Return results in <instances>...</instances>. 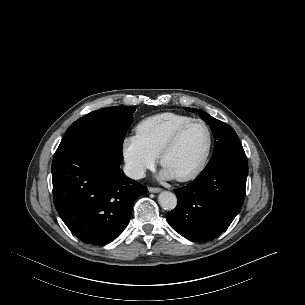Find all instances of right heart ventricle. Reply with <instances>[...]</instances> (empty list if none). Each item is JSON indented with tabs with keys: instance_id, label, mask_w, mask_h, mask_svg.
Wrapping results in <instances>:
<instances>
[{
	"instance_id": "e07e8e85",
	"label": "right heart ventricle",
	"mask_w": 305,
	"mask_h": 305,
	"mask_svg": "<svg viewBox=\"0 0 305 305\" xmlns=\"http://www.w3.org/2000/svg\"><path fill=\"white\" fill-rule=\"evenodd\" d=\"M190 116L176 113H162L148 117L137 126V136L156 157L175 131L190 121Z\"/></svg>"
}]
</instances>
